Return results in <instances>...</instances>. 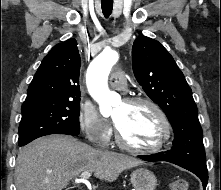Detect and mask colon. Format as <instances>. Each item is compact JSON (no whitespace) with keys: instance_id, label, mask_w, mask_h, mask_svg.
I'll list each match as a JSON object with an SVG mask.
<instances>
[{"instance_id":"1","label":"colon","mask_w":221,"mask_h":190,"mask_svg":"<svg viewBox=\"0 0 221 190\" xmlns=\"http://www.w3.org/2000/svg\"><path fill=\"white\" fill-rule=\"evenodd\" d=\"M170 190H188V182L184 179H176L169 185Z\"/></svg>"}]
</instances>
